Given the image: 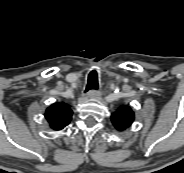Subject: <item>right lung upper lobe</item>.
<instances>
[{"label":"right lung upper lobe","mask_w":184,"mask_h":173,"mask_svg":"<svg viewBox=\"0 0 184 173\" xmlns=\"http://www.w3.org/2000/svg\"><path fill=\"white\" fill-rule=\"evenodd\" d=\"M70 106L64 102H56L47 108L45 118L53 130H62L72 118Z\"/></svg>","instance_id":"1"}]
</instances>
